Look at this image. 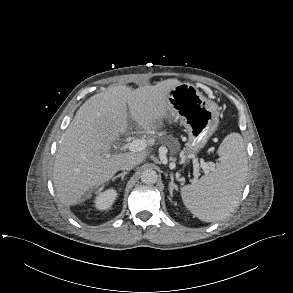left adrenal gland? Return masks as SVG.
<instances>
[{
	"label": "left adrenal gland",
	"mask_w": 293,
	"mask_h": 293,
	"mask_svg": "<svg viewBox=\"0 0 293 293\" xmlns=\"http://www.w3.org/2000/svg\"><path fill=\"white\" fill-rule=\"evenodd\" d=\"M170 179H171V182H170V184H169V192H170V196L172 197L173 196V191L174 190H178V187H177V185H175V183H174V177H173V175L171 174L170 175Z\"/></svg>",
	"instance_id": "a2214340"
}]
</instances>
